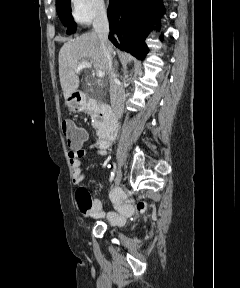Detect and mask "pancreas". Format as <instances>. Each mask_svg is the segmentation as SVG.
Here are the masks:
<instances>
[{
	"mask_svg": "<svg viewBox=\"0 0 240 288\" xmlns=\"http://www.w3.org/2000/svg\"><path fill=\"white\" fill-rule=\"evenodd\" d=\"M99 105H103V102H99ZM91 117H92L93 119H96V118H98V114L95 113V112H92V113H91Z\"/></svg>",
	"mask_w": 240,
	"mask_h": 288,
	"instance_id": "cf45deb5",
	"label": "pancreas"
}]
</instances>
